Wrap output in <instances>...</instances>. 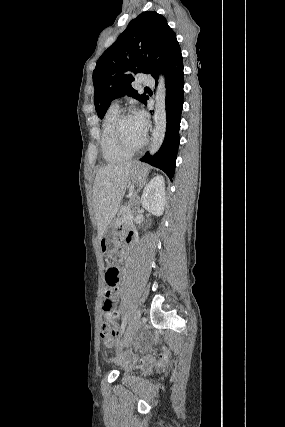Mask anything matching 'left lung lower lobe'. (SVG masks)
I'll use <instances>...</instances> for the list:
<instances>
[{
    "instance_id": "1",
    "label": "left lung lower lobe",
    "mask_w": 285,
    "mask_h": 427,
    "mask_svg": "<svg viewBox=\"0 0 285 427\" xmlns=\"http://www.w3.org/2000/svg\"><path fill=\"white\" fill-rule=\"evenodd\" d=\"M166 84V132L159 151L150 156L147 153L140 161L163 170L170 179L175 172V161L180 143L179 129L183 108L184 73L181 52L176 55L171 65L164 72Z\"/></svg>"
}]
</instances>
